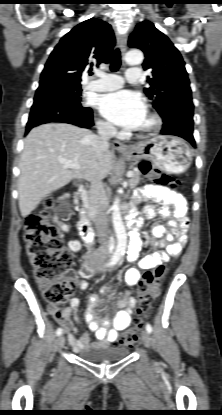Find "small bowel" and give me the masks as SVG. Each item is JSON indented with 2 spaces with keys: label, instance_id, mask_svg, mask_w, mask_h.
<instances>
[{
  "label": "small bowel",
  "instance_id": "1",
  "mask_svg": "<svg viewBox=\"0 0 222 415\" xmlns=\"http://www.w3.org/2000/svg\"><path fill=\"white\" fill-rule=\"evenodd\" d=\"M152 199L158 203L157 207H147L145 209L148 218L160 215L167 219H173L177 222L171 233L167 232L164 225H155L151 228L150 244L156 249L153 253L142 257L139 260L138 268H130L125 274V282L129 286H136L140 280V270L153 269L170 257L177 258L183 251L188 238L186 231L189 227V219L187 216V202L184 197L164 186L145 185L138 190L136 200L144 201ZM170 206L173 209H170ZM138 224H141V218L136 214L132 217ZM72 251H78L81 248V243L78 240H72L68 243ZM142 247V241L138 236L132 238L130 248L128 251V259L134 262L139 258V253ZM80 276L84 277L85 273L80 272ZM80 290H85L88 284L84 280L77 282ZM109 292L107 286L100 288L101 294ZM79 299L74 297L70 301V306L67 308H59L57 306H49L48 311L50 315L61 324L67 334L68 340L75 352L88 350L90 348H104L111 343L118 340L119 334L126 330L130 325L132 310L136 305L135 298L130 292H125L123 297L118 300V311L114 315L113 322L109 319H99L97 316V309L101 306V301L98 295H92L89 298L88 308L84 319L89 326L88 332L83 333L78 339L74 337L75 328L72 327L71 317L73 316L77 323H80L82 318L77 314L79 307ZM94 338V339H93Z\"/></svg>",
  "mask_w": 222,
  "mask_h": 415
}]
</instances>
